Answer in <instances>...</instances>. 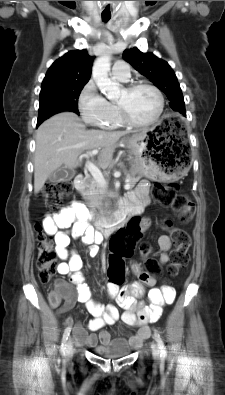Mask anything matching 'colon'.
Here are the masks:
<instances>
[{
	"mask_svg": "<svg viewBox=\"0 0 225 395\" xmlns=\"http://www.w3.org/2000/svg\"><path fill=\"white\" fill-rule=\"evenodd\" d=\"M72 192V184L69 180H60L49 183L44 188V201L51 207H58L62 199ZM152 194L154 199L162 206L169 207L174 211L177 219L183 223L191 221L194 215V204L185 195L179 192L176 183L154 185ZM132 222L126 223L125 228H117L116 233L112 234L107 250L112 252L110 262L108 265V272L110 274V285L113 288H123L124 283L122 279L125 278L127 270L124 265L123 256H134V241H142V227L140 222H143V215H132ZM162 229L168 231L173 241L174 248L171 253L169 274L174 276L188 263V250L191 245V238L189 233L179 227H175L168 220H165ZM127 233V234H126ZM37 242L38 254L36 265L38 269L39 280L46 284L52 281L55 271L57 269V255L53 247L52 240L42 231L40 226H37ZM124 245H131L130 249ZM151 247L148 243H143L139 249V256L143 257L144 261L151 264ZM150 275H157L162 273L161 269L150 268ZM58 290L51 292L49 295V302L52 306L60 305L63 298H71L74 293L72 289L63 282L57 283Z\"/></svg>",
	"mask_w": 225,
	"mask_h": 395,
	"instance_id": "5ec220e1",
	"label": "colon"
}]
</instances>
